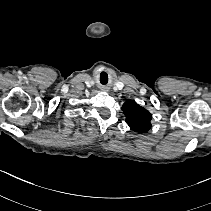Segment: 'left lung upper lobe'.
Instances as JSON below:
<instances>
[{
	"instance_id": "obj_1",
	"label": "left lung upper lobe",
	"mask_w": 211,
	"mask_h": 211,
	"mask_svg": "<svg viewBox=\"0 0 211 211\" xmlns=\"http://www.w3.org/2000/svg\"><path fill=\"white\" fill-rule=\"evenodd\" d=\"M126 123L136 132H147L151 128L152 115L148 110L139 106L132 100L126 101L122 106Z\"/></svg>"
}]
</instances>
